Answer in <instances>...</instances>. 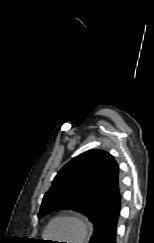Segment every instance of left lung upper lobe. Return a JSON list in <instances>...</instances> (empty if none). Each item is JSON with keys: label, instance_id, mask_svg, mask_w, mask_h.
Masks as SVG:
<instances>
[{"label": "left lung upper lobe", "instance_id": "left-lung-upper-lobe-1", "mask_svg": "<svg viewBox=\"0 0 154 243\" xmlns=\"http://www.w3.org/2000/svg\"><path fill=\"white\" fill-rule=\"evenodd\" d=\"M109 155L102 150H89L68 162L45 194L38 216L69 209L83 213L94 224L103 208L90 199L89 190Z\"/></svg>", "mask_w": 154, "mask_h": 243}]
</instances>
